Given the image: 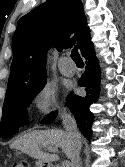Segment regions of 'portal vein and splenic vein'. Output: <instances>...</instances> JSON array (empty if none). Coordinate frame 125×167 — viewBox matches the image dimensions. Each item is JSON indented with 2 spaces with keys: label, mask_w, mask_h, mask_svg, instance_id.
Masks as SVG:
<instances>
[{
  "label": "portal vein and splenic vein",
  "mask_w": 125,
  "mask_h": 167,
  "mask_svg": "<svg viewBox=\"0 0 125 167\" xmlns=\"http://www.w3.org/2000/svg\"><path fill=\"white\" fill-rule=\"evenodd\" d=\"M47 149L49 152L57 153V148H55V147H47ZM70 166H71V163L69 161H64L62 163V167H70Z\"/></svg>",
  "instance_id": "portal-vein-and-splenic-vein-1"
}]
</instances>
